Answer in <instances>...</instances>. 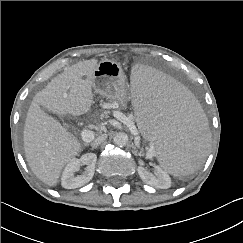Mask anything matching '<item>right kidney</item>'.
Wrapping results in <instances>:
<instances>
[{
    "instance_id": "right-kidney-1",
    "label": "right kidney",
    "mask_w": 243,
    "mask_h": 243,
    "mask_svg": "<svg viewBox=\"0 0 243 243\" xmlns=\"http://www.w3.org/2000/svg\"><path fill=\"white\" fill-rule=\"evenodd\" d=\"M97 156L94 153L82 155L79 159L73 158L66 165L62 178L61 185L65 189H74L88 183L94 175ZM81 165H86L85 171L81 175L75 176Z\"/></svg>"
}]
</instances>
